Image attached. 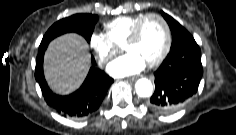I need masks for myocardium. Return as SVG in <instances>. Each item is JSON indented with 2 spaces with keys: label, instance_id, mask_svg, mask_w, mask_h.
<instances>
[{
  "label": "myocardium",
  "instance_id": "myocardium-1",
  "mask_svg": "<svg viewBox=\"0 0 236 135\" xmlns=\"http://www.w3.org/2000/svg\"><path fill=\"white\" fill-rule=\"evenodd\" d=\"M150 17H154L157 18L158 20L161 21L163 27H164V31H165V44L164 47L160 53V55L152 62L146 63V65L150 68L152 67H156L158 65H160L162 63V61L165 59V57L167 56V54L169 53L170 47H171V31H170V27L167 23V21L165 20V18L158 14V13H147L144 14L138 21L137 23L133 26L129 36L127 37L126 41L124 42V44L122 45L123 49L125 50L128 46L134 44L140 34V30L142 27V24L144 23V21Z\"/></svg>",
  "mask_w": 236,
  "mask_h": 135
}]
</instances>
